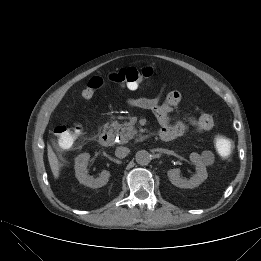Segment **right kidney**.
<instances>
[{"mask_svg":"<svg viewBox=\"0 0 261 261\" xmlns=\"http://www.w3.org/2000/svg\"><path fill=\"white\" fill-rule=\"evenodd\" d=\"M89 159L90 155L88 153H82L75 158L74 168L76 178L81 184L91 188H100L106 185L110 177V172L107 170H103L96 179L91 176H87V166Z\"/></svg>","mask_w":261,"mask_h":261,"instance_id":"obj_1","label":"right kidney"}]
</instances>
